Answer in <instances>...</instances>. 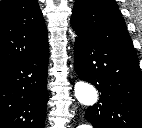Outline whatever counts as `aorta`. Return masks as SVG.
Segmentation results:
<instances>
[{
	"instance_id": "1",
	"label": "aorta",
	"mask_w": 142,
	"mask_h": 128,
	"mask_svg": "<svg viewBox=\"0 0 142 128\" xmlns=\"http://www.w3.org/2000/svg\"><path fill=\"white\" fill-rule=\"evenodd\" d=\"M73 40L75 35L72 36ZM75 97L79 103L85 106H93L98 101V94L96 89L89 83L79 81L75 83L74 86ZM82 128H89V126L84 125Z\"/></svg>"
}]
</instances>
